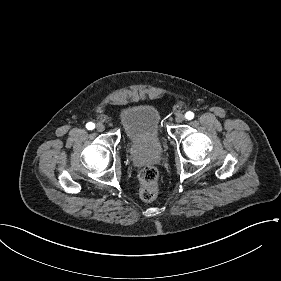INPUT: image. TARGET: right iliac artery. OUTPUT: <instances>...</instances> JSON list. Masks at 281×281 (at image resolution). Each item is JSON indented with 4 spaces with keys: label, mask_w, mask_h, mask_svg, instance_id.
<instances>
[{
    "label": "right iliac artery",
    "mask_w": 281,
    "mask_h": 281,
    "mask_svg": "<svg viewBox=\"0 0 281 281\" xmlns=\"http://www.w3.org/2000/svg\"><path fill=\"white\" fill-rule=\"evenodd\" d=\"M86 128H87L88 130H92V129L95 128V125H94V123L89 122V123H87Z\"/></svg>",
    "instance_id": "right-iliac-artery-1"
}]
</instances>
